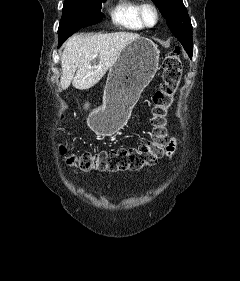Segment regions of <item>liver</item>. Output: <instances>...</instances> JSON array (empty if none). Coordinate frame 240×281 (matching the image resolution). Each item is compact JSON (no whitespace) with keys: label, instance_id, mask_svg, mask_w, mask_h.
I'll return each instance as SVG.
<instances>
[{"label":"liver","instance_id":"1","mask_svg":"<svg viewBox=\"0 0 240 281\" xmlns=\"http://www.w3.org/2000/svg\"><path fill=\"white\" fill-rule=\"evenodd\" d=\"M139 37L130 32L91 36L77 34L70 37L61 55L62 89H67L71 82L79 90H87L96 85L114 65L124 47Z\"/></svg>","mask_w":240,"mask_h":281}]
</instances>
